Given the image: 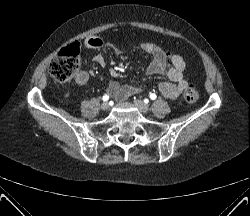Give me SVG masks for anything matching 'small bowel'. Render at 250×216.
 <instances>
[{
	"label": "small bowel",
	"instance_id": "c3829d8e",
	"mask_svg": "<svg viewBox=\"0 0 250 216\" xmlns=\"http://www.w3.org/2000/svg\"><path fill=\"white\" fill-rule=\"evenodd\" d=\"M103 45L104 41L98 37L89 38L85 42V46L89 49H97ZM140 48L143 52L152 56V60L147 67L148 74L163 72L166 65H170L167 71L169 81L160 82L158 89L166 98H178L188 87V81L184 74L186 65L183 58L173 52L165 51L159 45L151 42H143ZM115 51L121 53V50L118 48H115ZM94 59L100 66H105L106 61L103 55L98 54ZM90 76L91 74L87 71H78L75 76V82L78 85H85L89 81ZM101 79L106 80V75L102 74ZM108 91L117 100L122 101L131 95L139 93L140 88L132 84L121 85L117 81L111 80L109 82Z\"/></svg>",
	"mask_w": 250,
	"mask_h": 216
}]
</instances>
